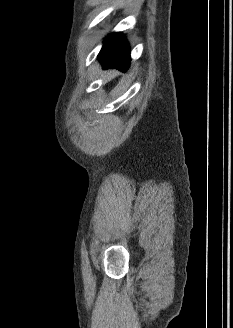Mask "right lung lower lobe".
Wrapping results in <instances>:
<instances>
[{
	"mask_svg": "<svg viewBox=\"0 0 233 328\" xmlns=\"http://www.w3.org/2000/svg\"><path fill=\"white\" fill-rule=\"evenodd\" d=\"M99 58L104 68L116 67L119 70H127L130 50L122 33L113 34L105 40Z\"/></svg>",
	"mask_w": 233,
	"mask_h": 328,
	"instance_id": "obj_1",
	"label": "right lung lower lobe"
}]
</instances>
